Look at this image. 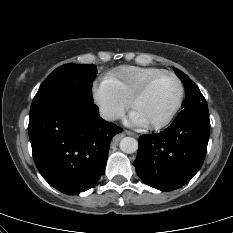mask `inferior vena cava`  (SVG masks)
<instances>
[{"mask_svg":"<svg viewBox=\"0 0 233 233\" xmlns=\"http://www.w3.org/2000/svg\"><path fill=\"white\" fill-rule=\"evenodd\" d=\"M100 116L105 120H114L117 118V114L110 108L104 107L99 110Z\"/></svg>","mask_w":233,"mask_h":233,"instance_id":"obj_1","label":"inferior vena cava"}]
</instances>
